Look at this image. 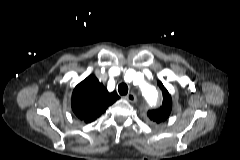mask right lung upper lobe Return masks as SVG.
<instances>
[{
    "mask_svg": "<svg viewBox=\"0 0 240 160\" xmlns=\"http://www.w3.org/2000/svg\"><path fill=\"white\" fill-rule=\"evenodd\" d=\"M118 99L115 91L109 93L94 75H90L75 87L71 106L78 118L90 123Z\"/></svg>",
    "mask_w": 240,
    "mask_h": 160,
    "instance_id": "right-lung-upper-lobe-1",
    "label": "right lung upper lobe"
}]
</instances>
